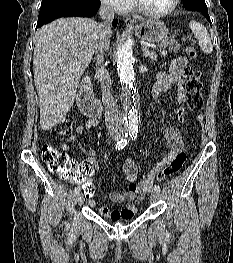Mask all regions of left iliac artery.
I'll return each mask as SVG.
<instances>
[{
    "label": "left iliac artery",
    "mask_w": 233,
    "mask_h": 263,
    "mask_svg": "<svg viewBox=\"0 0 233 263\" xmlns=\"http://www.w3.org/2000/svg\"><path fill=\"white\" fill-rule=\"evenodd\" d=\"M129 135H130V137L133 140L134 138H136L137 133H136V131H132L131 133H129ZM154 190L159 193L160 192V187L158 185H155L154 186Z\"/></svg>",
    "instance_id": "left-iliac-artery-1"
}]
</instances>
